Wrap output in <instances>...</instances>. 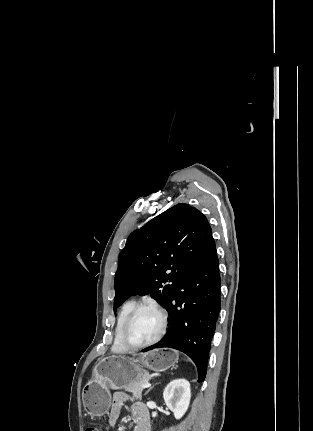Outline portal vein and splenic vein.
Returning <instances> with one entry per match:
<instances>
[{
	"mask_svg": "<svg viewBox=\"0 0 313 431\" xmlns=\"http://www.w3.org/2000/svg\"><path fill=\"white\" fill-rule=\"evenodd\" d=\"M150 386H151V384H150V383H148V382L142 383V384L140 385V387H142V388H147V387H150Z\"/></svg>",
	"mask_w": 313,
	"mask_h": 431,
	"instance_id": "1",
	"label": "portal vein and splenic vein"
}]
</instances>
